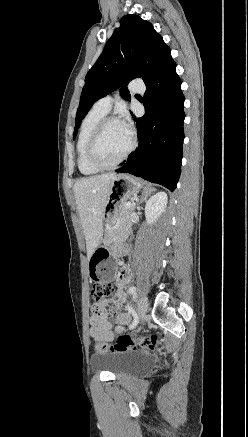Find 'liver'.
<instances>
[{
    "label": "liver",
    "mask_w": 248,
    "mask_h": 437,
    "mask_svg": "<svg viewBox=\"0 0 248 437\" xmlns=\"http://www.w3.org/2000/svg\"><path fill=\"white\" fill-rule=\"evenodd\" d=\"M115 176V173H107L81 178L73 187L77 211L85 235L88 259L100 242L104 210Z\"/></svg>",
    "instance_id": "1"
}]
</instances>
